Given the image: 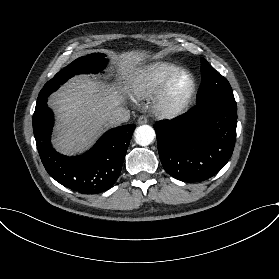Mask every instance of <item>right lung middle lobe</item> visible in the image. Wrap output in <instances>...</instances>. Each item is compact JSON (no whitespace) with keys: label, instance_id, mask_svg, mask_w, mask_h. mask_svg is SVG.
Segmentation results:
<instances>
[{"label":"right lung middle lobe","instance_id":"obj_1","mask_svg":"<svg viewBox=\"0 0 279 279\" xmlns=\"http://www.w3.org/2000/svg\"><path fill=\"white\" fill-rule=\"evenodd\" d=\"M105 56L106 55L102 53H93L74 60L44 85L39 93L37 101L46 99L52 92L56 91L60 85L74 75L80 73H98L102 71L108 62Z\"/></svg>","mask_w":279,"mask_h":279}]
</instances>
